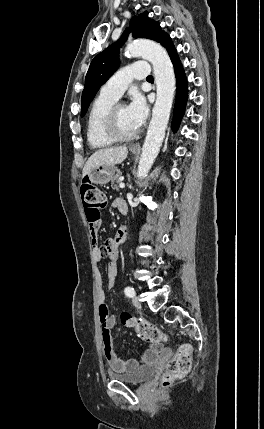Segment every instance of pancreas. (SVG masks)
<instances>
[{"mask_svg":"<svg viewBox=\"0 0 264 429\" xmlns=\"http://www.w3.org/2000/svg\"><path fill=\"white\" fill-rule=\"evenodd\" d=\"M121 172L118 171L117 174L111 179V187L115 190H118V183H120Z\"/></svg>","mask_w":264,"mask_h":429,"instance_id":"1","label":"pancreas"}]
</instances>
